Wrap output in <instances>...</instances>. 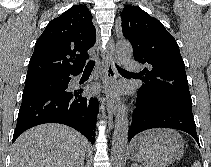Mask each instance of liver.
<instances>
[{"mask_svg": "<svg viewBox=\"0 0 211 167\" xmlns=\"http://www.w3.org/2000/svg\"><path fill=\"white\" fill-rule=\"evenodd\" d=\"M88 141L61 124H43L21 134L11 150L10 167H84Z\"/></svg>", "mask_w": 211, "mask_h": 167, "instance_id": "6515ba94", "label": "liver"}]
</instances>
